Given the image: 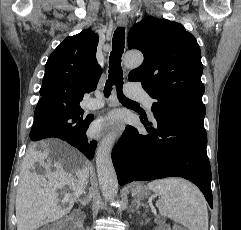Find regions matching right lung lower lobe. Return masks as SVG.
Listing matches in <instances>:
<instances>
[{"instance_id":"obj_1","label":"right lung lower lobe","mask_w":241,"mask_h":230,"mask_svg":"<svg viewBox=\"0 0 241 230\" xmlns=\"http://www.w3.org/2000/svg\"><path fill=\"white\" fill-rule=\"evenodd\" d=\"M36 114H39V113H37V111L35 110V115ZM91 120L92 119L89 118V121L87 122V124L80 131L73 132V133H66V132L52 133V131L43 132L41 129V126L38 123L34 122L30 134H35L40 132L46 135L45 138H51V137L60 138L68 142L72 146L76 147L77 149H79L83 154L87 156V158L92 159L94 156V150L96 149L97 143L96 141H92L91 143H89L87 140V136L85 134Z\"/></svg>"}]
</instances>
